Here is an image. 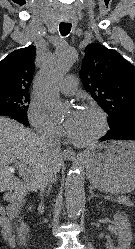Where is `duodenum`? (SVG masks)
Returning <instances> with one entry per match:
<instances>
[{
    "mask_svg": "<svg viewBox=\"0 0 135 249\" xmlns=\"http://www.w3.org/2000/svg\"><path fill=\"white\" fill-rule=\"evenodd\" d=\"M6 198H7V201L12 203L11 207L13 208L14 213H15L16 211L21 210V207L25 200V194L22 191H17V192H13L9 194Z\"/></svg>",
    "mask_w": 135,
    "mask_h": 249,
    "instance_id": "duodenum-1",
    "label": "duodenum"
}]
</instances>
